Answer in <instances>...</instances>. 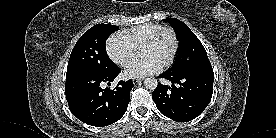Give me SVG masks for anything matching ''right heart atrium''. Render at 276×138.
Here are the masks:
<instances>
[{"label":"right heart atrium","instance_id":"obj_1","mask_svg":"<svg viewBox=\"0 0 276 138\" xmlns=\"http://www.w3.org/2000/svg\"><path fill=\"white\" fill-rule=\"evenodd\" d=\"M109 58L119 66H125L135 55V47L122 35H111L106 41Z\"/></svg>","mask_w":276,"mask_h":138}]
</instances>
